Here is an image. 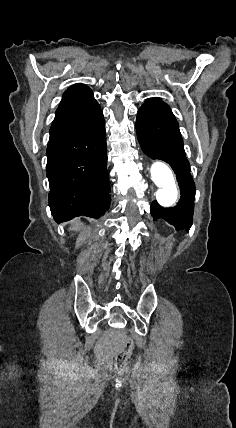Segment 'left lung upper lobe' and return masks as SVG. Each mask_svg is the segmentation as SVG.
Returning a JSON list of instances; mask_svg holds the SVG:
<instances>
[{
	"label": "left lung upper lobe",
	"instance_id": "obj_1",
	"mask_svg": "<svg viewBox=\"0 0 236 428\" xmlns=\"http://www.w3.org/2000/svg\"><path fill=\"white\" fill-rule=\"evenodd\" d=\"M149 100H157V101H161L159 98H151Z\"/></svg>",
	"mask_w": 236,
	"mask_h": 428
}]
</instances>
